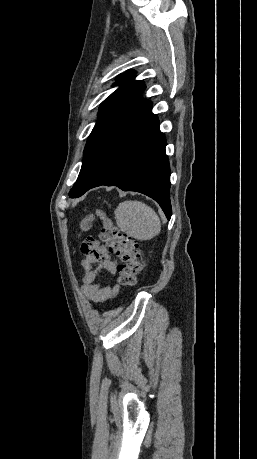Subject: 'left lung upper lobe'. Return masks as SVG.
<instances>
[{
    "instance_id": "left-lung-upper-lobe-1",
    "label": "left lung upper lobe",
    "mask_w": 257,
    "mask_h": 459,
    "mask_svg": "<svg viewBox=\"0 0 257 459\" xmlns=\"http://www.w3.org/2000/svg\"><path fill=\"white\" fill-rule=\"evenodd\" d=\"M135 71H128L116 78L120 87L106 98L100 107L99 119L84 149L79 176L69 192L71 198L83 195L93 183L101 162V148L108 130L117 123L136 103L145 89L142 81L134 80Z\"/></svg>"
}]
</instances>
